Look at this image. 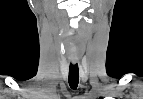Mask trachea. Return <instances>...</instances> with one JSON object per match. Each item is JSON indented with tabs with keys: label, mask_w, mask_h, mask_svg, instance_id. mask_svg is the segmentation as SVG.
Wrapping results in <instances>:
<instances>
[{
	"label": "trachea",
	"mask_w": 143,
	"mask_h": 99,
	"mask_svg": "<svg viewBox=\"0 0 143 99\" xmlns=\"http://www.w3.org/2000/svg\"><path fill=\"white\" fill-rule=\"evenodd\" d=\"M69 85L72 89H76L78 86V82H79V68H78V64H72L70 63V67H69Z\"/></svg>",
	"instance_id": "trachea-1"
}]
</instances>
